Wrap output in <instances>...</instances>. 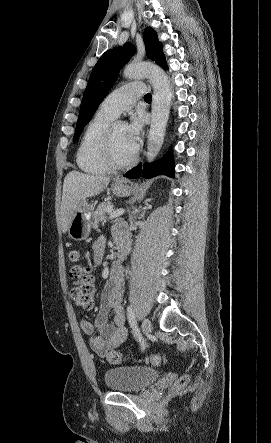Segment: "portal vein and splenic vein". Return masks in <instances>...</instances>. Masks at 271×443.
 <instances>
[{
  "mask_svg": "<svg viewBox=\"0 0 271 443\" xmlns=\"http://www.w3.org/2000/svg\"><path fill=\"white\" fill-rule=\"evenodd\" d=\"M124 210H116V212H111L110 218H117V216H122Z\"/></svg>",
  "mask_w": 271,
  "mask_h": 443,
  "instance_id": "obj_1",
  "label": "portal vein and splenic vein"
}]
</instances>
